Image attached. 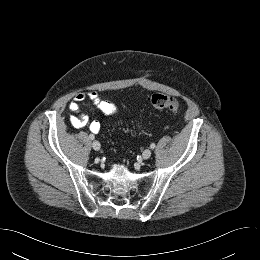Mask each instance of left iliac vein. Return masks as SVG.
<instances>
[{"instance_id": "1", "label": "left iliac vein", "mask_w": 260, "mask_h": 260, "mask_svg": "<svg viewBox=\"0 0 260 260\" xmlns=\"http://www.w3.org/2000/svg\"><path fill=\"white\" fill-rule=\"evenodd\" d=\"M151 154H152V151L150 149H146L142 153V158L144 160H147L148 158H150Z\"/></svg>"}]
</instances>
